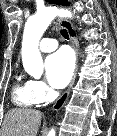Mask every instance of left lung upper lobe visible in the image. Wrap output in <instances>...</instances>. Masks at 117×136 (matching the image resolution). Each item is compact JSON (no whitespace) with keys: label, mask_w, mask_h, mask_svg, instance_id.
<instances>
[{"label":"left lung upper lobe","mask_w":117,"mask_h":136,"mask_svg":"<svg viewBox=\"0 0 117 136\" xmlns=\"http://www.w3.org/2000/svg\"><path fill=\"white\" fill-rule=\"evenodd\" d=\"M47 1L53 4H57V5H66V6L69 5L67 0H47Z\"/></svg>","instance_id":"left-lung-upper-lobe-1"}]
</instances>
